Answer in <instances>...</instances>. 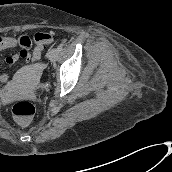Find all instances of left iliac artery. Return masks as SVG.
Returning a JSON list of instances; mask_svg holds the SVG:
<instances>
[{"instance_id":"obj_1","label":"left iliac artery","mask_w":172,"mask_h":172,"mask_svg":"<svg viewBox=\"0 0 172 172\" xmlns=\"http://www.w3.org/2000/svg\"><path fill=\"white\" fill-rule=\"evenodd\" d=\"M62 48H63V44H59L58 47H57V50H58V51H61Z\"/></svg>"}]
</instances>
